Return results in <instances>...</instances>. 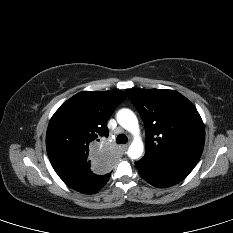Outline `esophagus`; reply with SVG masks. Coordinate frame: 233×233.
Here are the masks:
<instances>
[{
	"label": "esophagus",
	"mask_w": 233,
	"mask_h": 233,
	"mask_svg": "<svg viewBox=\"0 0 233 233\" xmlns=\"http://www.w3.org/2000/svg\"><path fill=\"white\" fill-rule=\"evenodd\" d=\"M128 144H124V145H122L121 146V150L123 151V152H125L127 149H128Z\"/></svg>",
	"instance_id": "1"
}]
</instances>
